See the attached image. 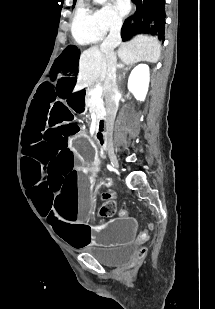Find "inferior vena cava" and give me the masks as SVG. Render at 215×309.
<instances>
[{
	"label": "inferior vena cava",
	"instance_id": "602c4592",
	"mask_svg": "<svg viewBox=\"0 0 215 309\" xmlns=\"http://www.w3.org/2000/svg\"><path fill=\"white\" fill-rule=\"evenodd\" d=\"M122 18H113L110 26V32L103 40L100 50L106 54L107 72L104 78V98L106 106V132L108 134V142L112 144L113 124L118 108L120 92L117 84V58L114 48L121 42V26Z\"/></svg>",
	"mask_w": 215,
	"mask_h": 309
}]
</instances>
